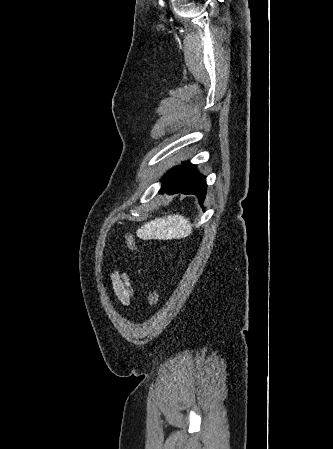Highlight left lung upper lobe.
Returning <instances> with one entry per match:
<instances>
[{
	"label": "left lung upper lobe",
	"mask_w": 333,
	"mask_h": 449,
	"mask_svg": "<svg viewBox=\"0 0 333 449\" xmlns=\"http://www.w3.org/2000/svg\"><path fill=\"white\" fill-rule=\"evenodd\" d=\"M176 168H178V166H176V167H174L173 169H171L170 171H168L167 174H166L165 176H167V175H169L170 173H172Z\"/></svg>",
	"instance_id": "obj_1"
}]
</instances>
